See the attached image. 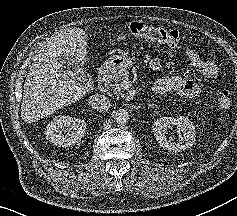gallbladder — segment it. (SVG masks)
<instances>
[{"label": "gallbladder", "mask_w": 237, "mask_h": 216, "mask_svg": "<svg viewBox=\"0 0 237 216\" xmlns=\"http://www.w3.org/2000/svg\"><path fill=\"white\" fill-rule=\"evenodd\" d=\"M82 82H83V83H86V84H90V82H89L88 80H85L84 77L82 78Z\"/></svg>", "instance_id": "1"}]
</instances>
